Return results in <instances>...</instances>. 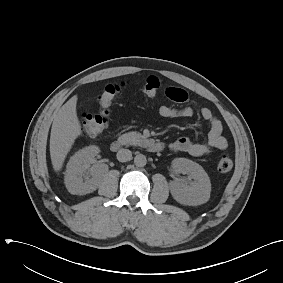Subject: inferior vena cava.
<instances>
[{"label":"inferior vena cava","instance_id":"602c4592","mask_svg":"<svg viewBox=\"0 0 283 283\" xmlns=\"http://www.w3.org/2000/svg\"><path fill=\"white\" fill-rule=\"evenodd\" d=\"M117 159L120 162H127L132 159V152L129 149H120L117 152Z\"/></svg>","mask_w":283,"mask_h":283}]
</instances>
